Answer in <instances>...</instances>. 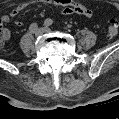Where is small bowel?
Here are the masks:
<instances>
[{
  "label": "small bowel",
  "mask_w": 119,
  "mask_h": 119,
  "mask_svg": "<svg viewBox=\"0 0 119 119\" xmlns=\"http://www.w3.org/2000/svg\"><path fill=\"white\" fill-rule=\"evenodd\" d=\"M43 2L53 4L55 6H60L63 8V13L70 15V14H79L86 17L92 16V11L84 6L83 4L73 1V0H44ZM27 6L26 3H20L16 5L10 12L9 15H4L2 17V20L4 22H8L10 18H16L19 13ZM15 24L18 26L22 25V22L17 20L15 21ZM10 36V33L7 29L3 30V37L5 39H8Z\"/></svg>",
  "instance_id": "obj_1"
}]
</instances>
